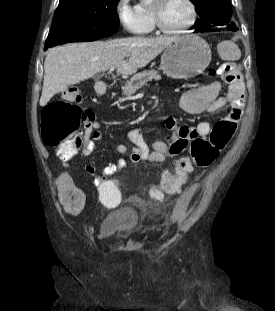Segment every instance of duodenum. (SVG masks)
<instances>
[{
    "mask_svg": "<svg viewBox=\"0 0 275 311\" xmlns=\"http://www.w3.org/2000/svg\"><path fill=\"white\" fill-rule=\"evenodd\" d=\"M107 89H108V83L105 81H98L95 85V91L98 95H104Z\"/></svg>",
    "mask_w": 275,
    "mask_h": 311,
    "instance_id": "obj_1",
    "label": "duodenum"
}]
</instances>
